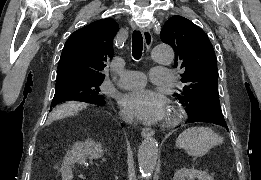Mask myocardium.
Here are the masks:
<instances>
[{"label": "myocardium", "mask_w": 261, "mask_h": 180, "mask_svg": "<svg viewBox=\"0 0 261 180\" xmlns=\"http://www.w3.org/2000/svg\"><path fill=\"white\" fill-rule=\"evenodd\" d=\"M178 118V112L175 110L173 103L171 102L169 107L164 111L161 122L163 127L172 126Z\"/></svg>", "instance_id": "1"}]
</instances>
